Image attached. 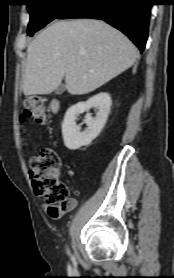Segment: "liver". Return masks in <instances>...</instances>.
Segmentation results:
<instances>
[{
    "instance_id": "6515ba94",
    "label": "liver",
    "mask_w": 174,
    "mask_h": 278,
    "mask_svg": "<svg viewBox=\"0 0 174 278\" xmlns=\"http://www.w3.org/2000/svg\"><path fill=\"white\" fill-rule=\"evenodd\" d=\"M138 52L120 31L96 19L57 21L27 48L24 95H47L65 77L71 95L94 91L129 69Z\"/></svg>"
}]
</instances>
